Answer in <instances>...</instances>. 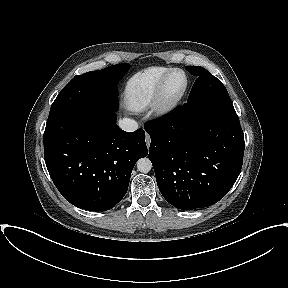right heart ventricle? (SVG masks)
<instances>
[{"mask_svg":"<svg viewBox=\"0 0 288 288\" xmlns=\"http://www.w3.org/2000/svg\"><path fill=\"white\" fill-rule=\"evenodd\" d=\"M170 70L168 67L153 66L134 74L125 91L128 108L133 111L147 108L153 102L160 81Z\"/></svg>","mask_w":288,"mask_h":288,"instance_id":"right-heart-ventricle-1","label":"right heart ventricle"}]
</instances>
